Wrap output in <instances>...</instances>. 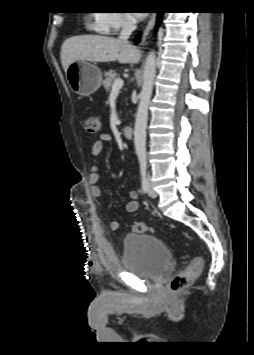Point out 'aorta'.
Returning <instances> with one entry per match:
<instances>
[{
	"label": "aorta",
	"instance_id": "obj_1",
	"mask_svg": "<svg viewBox=\"0 0 254 355\" xmlns=\"http://www.w3.org/2000/svg\"><path fill=\"white\" fill-rule=\"evenodd\" d=\"M156 75V54L149 52L143 71V85L140 92V101L136 113L134 127V145L139 158L146 156V128L148 120V107L152 96L154 79Z\"/></svg>",
	"mask_w": 254,
	"mask_h": 355
}]
</instances>
